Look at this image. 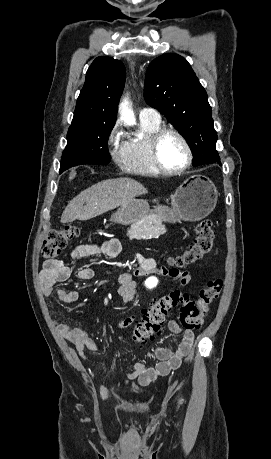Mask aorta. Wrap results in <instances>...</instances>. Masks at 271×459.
<instances>
[{
    "mask_svg": "<svg viewBox=\"0 0 271 459\" xmlns=\"http://www.w3.org/2000/svg\"><path fill=\"white\" fill-rule=\"evenodd\" d=\"M122 116L124 120L128 122L134 121L132 112L131 110L128 109L126 101L122 104ZM156 283H157V279L155 277H149L145 282L147 287H153L156 285Z\"/></svg>",
    "mask_w": 271,
    "mask_h": 459,
    "instance_id": "1",
    "label": "aorta"
}]
</instances>
